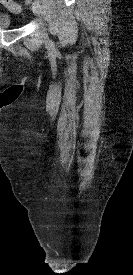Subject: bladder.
<instances>
[{"mask_svg": "<svg viewBox=\"0 0 133 275\" xmlns=\"http://www.w3.org/2000/svg\"><path fill=\"white\" fill-rule=\"evenodd\" d=\"M14 25L12 18L6 13H0V29H10Z\"/></svg>", "mask_w": 133, "mask_h": 275, "instance_id": "1", "label": "bladder"}]
</instances>
